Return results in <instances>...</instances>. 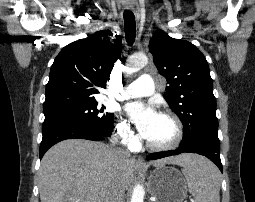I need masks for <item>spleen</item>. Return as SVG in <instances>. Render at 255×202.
<instances>
[{"instance_id":"spleen-1","label":"spleen","mask_w":255,"mask_h":202,"mask_svg":"<svg viewBox=\"0 0 255 202\" xmlns=\"http://www.w3.org/2000/svg\"><path fill=\"white\" fill-rule=\"evenodd\" d=\"M182 173L195 202H220L221 174L208 159L194 155Z\"/></svg>"}]
</instances>
